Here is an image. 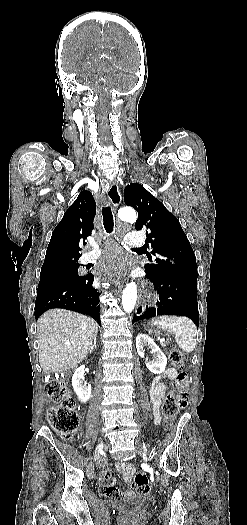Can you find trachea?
<instances>
[{"label": "trachea", "mask_w": 247, "mask_h": 525, "mask_svg": "<svg viewBox=\"0 0 247 525\" xmlns=\"http://www.w3.org/2000/svg\"><path fill=\"white\" fill-rule=\"evenodd\" d=\"M102 217L104 222V228L106 233H112L114 229V220L111 208L108 206L103 207ZM143 247H140V249Z\"/></svg>", "instance_id": "obj_1"}]
</instances>
